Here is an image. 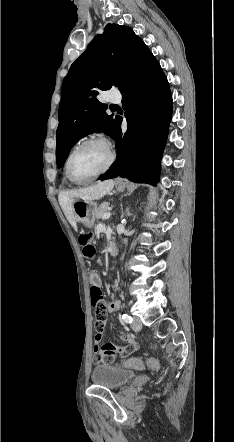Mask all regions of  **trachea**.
Segmentation results:
<instances>
[{"label":"trachea","mask_w":234,"mask_h":442,"mask_svg":"<svg viewBox=\"0 0 234 442\" xmlns=\"http://www.w3.org/2000/svg\"><path fill=\"white\" fill-rule=\"evenodd\" d=\"M112 107H117V105H112Z\"/></svg>","instance_id":"obj_1"}]
</instances>
